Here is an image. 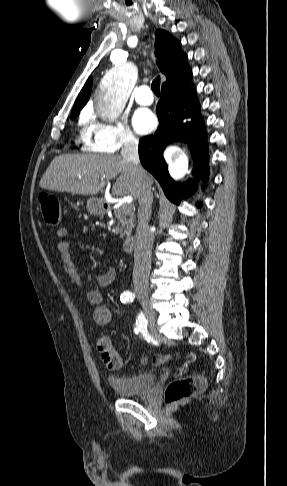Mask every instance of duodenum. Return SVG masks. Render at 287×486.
Wrapping results in <instances>:
<instances>
[{"instance_id": "1", "label": "duodenum", "mask_w": 287, "mask_h": 486, "mask_svg": "<svg viewBox=\"0 0 287 486\" xmlns=\"http://www.w3.org/2000/svg\"><path fill=\"white\" fill-rule=\"evenodd\" d=\"M103 207L105 210H108L109 209V205L107 203H104L103 204ZM134 245H135V239H134V236L133 235H128L124 242H123V251L125 253H130L132 252L133 248H134Z\"/></svg>"}]
</instances>
